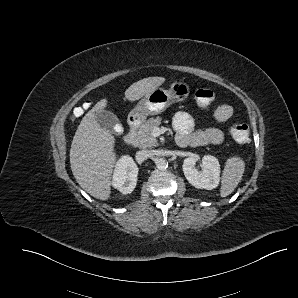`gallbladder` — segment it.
Listing matches in <instances>:
<instances>
[{
  "label": "gallbladder",
  "instance_id": "1",
  "mask_svg": "<svg viewBox=\"0 0 298 298\" xmlns=\"http://www.w3.org/2000/svg\"><path fill=\"white\" fill-rule=\"evenodd\" d=\"M95 119L107 131H113L114 127L119 123V119L114 113L103 109L95 113Z\"/></svg>",
  "mask_w": 298,
  "mask_h": 298
}]
</instances>
